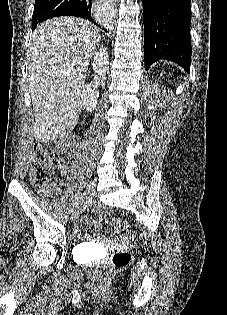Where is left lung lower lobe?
<instances>
[{
    "label": "left lung lower lobe",
    "instance_id": "1",
    "mask_svg": "<svg viewBox=\"0 0 227 315\" xmlns=\"http://www.w3.org/2000/svg\"><path fill=\"white\" fill-rule=\"evenodd\" d=\"M144 61L148 69L160 59L190 69L191 0H142Z\"/></svg>",
    "mask_w": 227,
    "mask_h": 315
}]
</instances>
